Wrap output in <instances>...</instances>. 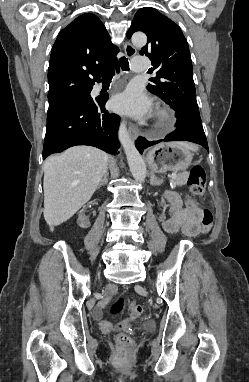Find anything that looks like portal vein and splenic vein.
<instances>
[{"mask_svg": "<svg viewBox=\"0 0 249 382\" xmlns=\"http://www.w3.org/2000/svg\"><path fill=\"white\" fill-rule=\"evenodd\" d=\"M176 177H177L176 173H173V174L171 175V178H172L173 180L176 179Z\"/></svg>", "mask_w": 249, "mask_h": 382, "instance_id": "18ae733b", "label": "portal vein and splenic vein"}]
</instances>
